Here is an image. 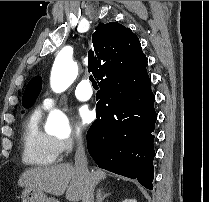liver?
<instances>
[{
    "mask_svg": "<svg viewBox=\"0 0 209 202\" xmlns=\"http://www.w3.org/2000/svg\"><path fill=\"white\" fill-rule=\"evenodd\" d=\"M91 176L95 185L106 178V173L96 169L92 170ZM18 185L55 196H61L66 192L68 201L82 199L83 179L69 163L27 169L20 176Z\"/></svg>",
    "mask_w": 209,
    "mask_h": 202,
    "instance_id": "liver-1",
    "label": "liver"
}]
</instances>
